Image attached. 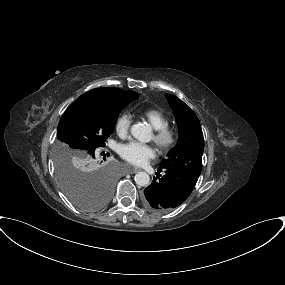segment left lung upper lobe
<instances>
[{
    "label": "left lung upper lobe",
    "instance_id": "1",
    "mask_svg": "<svg viewBox=\"0 0 285 285\" xmlns=\"http://www.w3.org/2000/svg\"><path fill=\"white\" fill-rule=\"evenodd\" d=\"M178 125L179 139L169 151L167 158L160 163V168L173 169L197 182L202 170L204 138L196 114L179 98L165 95Z\"/></svg>",
    "mask_w": 285,
    "mask_h": 285
}]
</instances>
